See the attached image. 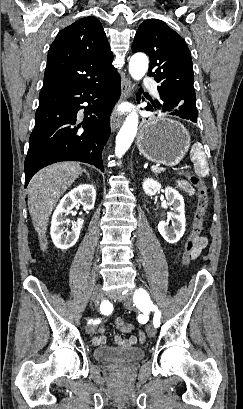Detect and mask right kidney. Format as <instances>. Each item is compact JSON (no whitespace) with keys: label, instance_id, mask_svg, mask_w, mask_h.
I'll return each mask as SVG.
<instances>
[{"label":"right kidney","instance_id":"1","mask_svg":"<svg viewBox=\"0 0 243 409\" xmlns=\"http://www.w3.org/2000/svg\"><path fill=\"white\" fill-rule=\"evenodd\" d=\"M96 191L93 185H80L69 193H67L56 207L51 221V238L54 245L62 250L71 248L78 240L83 219H78L77 225L71 230H68L66 216L80 203L86 210H91L94 207Z\"/></svg>","mask_w":243,"mask_h":409}]
</instances>
